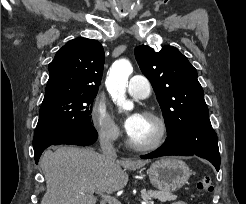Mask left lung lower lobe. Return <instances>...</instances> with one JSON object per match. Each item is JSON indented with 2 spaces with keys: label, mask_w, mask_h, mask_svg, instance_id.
Returning <instances> with one entry per match:
<instances>
[{
  "label": "left lung lower lobe",
  "mask_w": 246,
  "mask_h": 204,
  "mask_svg": "<svg viewBox=\"0 0 246 204\" xmlns=\"http://www.w3.org/2000/svg\"><path fill=\"white\" fill-rule=\"evenodd\" d=\"M166 155H196L209 160L219 170L220 154L217 135L210 121L197 122L178 128L168 135L164 145L144 159Z\"/></svg>",
  "instance_id": "1"
}]
</instances>
